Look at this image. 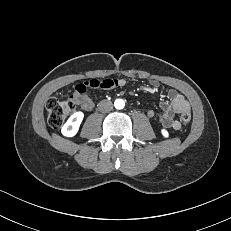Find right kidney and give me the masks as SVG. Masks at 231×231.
Wrapping results in <instances>:
<instances>
[{"instance_id": "ca27d5eb", "label": "right kidney", "mask_w": 231, "mask_h": 231, "mask_svg": "<svg viewBox=\"0 0 231 231\" xmlns=\"http://www.w3.org/2000/svg\"><path fill=\"white\" fill-rule=\"evenodd\" d=\"M84 114L82 112L74 113L62 127V134L67 137H73L79 130V126L83 120Z\"/></svg>"}]
</instances>
